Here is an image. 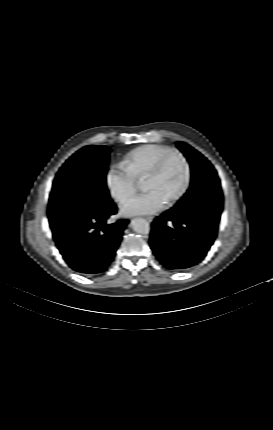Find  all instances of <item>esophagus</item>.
Returning <instances> with one entry per match:
<instances>
[{
	"label": "esophagus",
	"instance_id": "esophagus-1",
	"mask_svg": "<svg viewBox=\"0 0 273 430\" xmlns=\"http://www.w3.org/2000/svg\"><path fill=\"white\" fill-rule=\"evenodd\" d=\"M153 219H154V217H152V216H148V217H146V220H148L149 222H152V221H153Z\"/></svg>",
	"mask_w": 273,
	"mask_h": 430
}]
</instances>
